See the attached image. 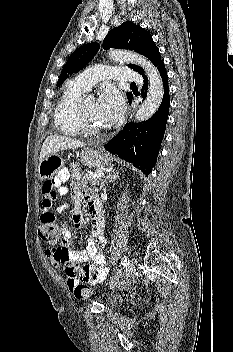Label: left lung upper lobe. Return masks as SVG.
I'll use <instances>...</instances> for the list:
<instances>
[{"instance_id": "5c2ea615", "label": "left lung upper lobe", "mask_w": 233, "mask_h": 352, "mask_svg": "<svg viewBox=\"0 0 233 352\" xmlns=\"http://www.w3.org/2000/svg\"><path fill=\"white\" fill-rule=\"evenodd\" d=\"M103 48L134 50L147 57L156 67L162 61L158 47L153 42L152 35L147 30L132 22H123L119 27L111 29L103 40ZM98 49V43H89L81 46L72 53L61 72L57 86H60L69 74H73L84 68L93 59ZM128 66L143 77L145 76L144 70L141 67L134 64H129ZM132 97V93L128 92V100L132 99Z\"/></svg>"}]
</instances>
